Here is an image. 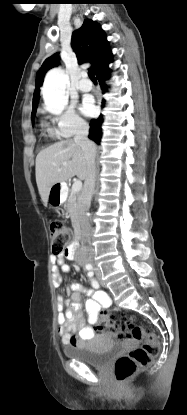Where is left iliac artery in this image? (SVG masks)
Returning a JSON list of instances; mask_svg holds the SVG:
<instances>
[{
	"label": "left iliac artery",
	"mask_w": 187,
	"mask_h": 415,
	"mask_svg": "<svg viewBox=\"0 0 187 415\" xmlns=\"http://www.w3.org/2000/svg\"><path fill=\"white\" fill-rule=\"evenodd\" d=\"M88 276L91 278V284H92V286L95 287V288H98L99 287L98 282L94 278H92L93 277V272L92 271H90L88 273Z\"/></svg>",
	"instance_id": "1"
}]
</instances>
